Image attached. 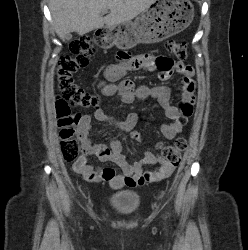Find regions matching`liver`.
Masks as SVG:
<instances>
[{
	"label": "liver",
	"mask_w": 248,
	"mask_h": 250,
	"mask_svg": "<svg viewBox=\"0 0 248 250\" xmlns=\"http://www.w3.org/2000/svg\"><path fill=\"white\" fill-rule=\"evenodd\" d=\"M157 0H49L53 24L60 39L71 32L84 35L106 25L131 21ZM104 10L110 14L102 17Z\"/></svg>",
	"instance_id": "1"
}]
</instances>
